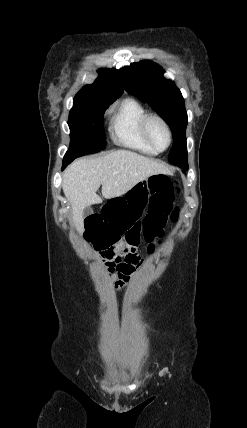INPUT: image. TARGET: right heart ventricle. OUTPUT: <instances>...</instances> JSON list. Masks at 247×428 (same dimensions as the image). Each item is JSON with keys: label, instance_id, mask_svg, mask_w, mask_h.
<instances>
[{"label": "right heart ventricle", "instance_id": "1", "mask_svg": "<svg viewBox=\"0 0 247 428\" xmlns=\"http://www.w3.org/2000/svg\"><path fill=\"white\" fill-rule=\"evenodd\" d=\"M147 115V110L135 98L123 100L110 118L113 142L146 155H157L159 152L147 143L142 133V122Z\"/></svg>", "mask_w": 247, "mask_h": 428}]
</instances>
